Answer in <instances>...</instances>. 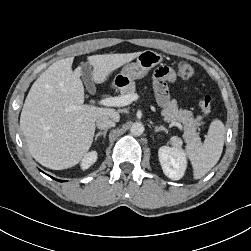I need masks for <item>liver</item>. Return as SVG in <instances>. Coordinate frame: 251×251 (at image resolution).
<instances>
[{"instance_id":"obj_1","label":"liver","mask_w":251,"mask_h":251,"mask_svg":"<svg viewBox=\"0 0 251 251\" xmlns=\"http://www.w3.org/2000/svg\"><path fill=\"white\" fill-rule=\"evenodd\" d=\"M141 52L88 57L93 81L105 83L111 73ZM74 58L53 63L33 83L20 116V128L32 157L41 165L62 170L78 164L90 149L100 115L119 119L116 110L84 104L80 68Z\"/></svg>"}]
</instances>
